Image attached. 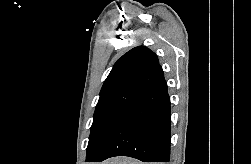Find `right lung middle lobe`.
Wrapping results in <instances>:
<instances>
[{
  "mask_svg": "<svg viewBox=\"0 0 251 164\" xmlns=\"http://www.w3.org/2000/svg\"><path fill=\"white\" fill-rule=\"evenodd\" d=\"M140 94L141 90L136 88H121L100 95L91 126L86 159L91 156L113 122Z\"/></svg>",
  "mask_w": 251,
  "mask_h": 164,
  "instance_id": "obj_1",
  "label": "right lung middle lobe"
}]
</instances>
